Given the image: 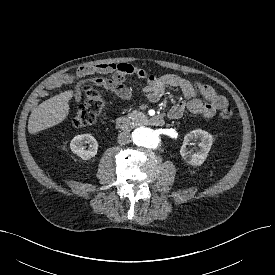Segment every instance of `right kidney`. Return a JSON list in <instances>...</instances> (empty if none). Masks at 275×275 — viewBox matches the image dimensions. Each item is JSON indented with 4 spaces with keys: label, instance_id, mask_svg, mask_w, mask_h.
<instances>
[{
    "label": "right kidney",
    "instance_id": "ca27d5eb",
    "mask_svg": "<svg viewBox=\"0 0 275 275\" xmlns=\"http://www.w3.org/2000/svg\"><path fill=\"white\" fill-rule=\"evenodd\" d=\"M84 143H90V148L85 149ZM70 149L83 160H89L97 154L98 143L91 134H81L72 139Z\"/></svg>",
    "mask_w": 275,
    "mask_h": 275
}]
</instances>
